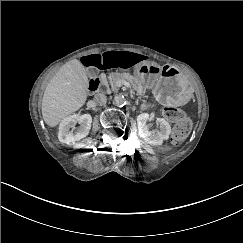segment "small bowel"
<instances>
[{
    "label": "small bowel",
    "mask_w": 243,
    "mask_h": 243,
    "mask_svg": "<svg viewBox=\"0 0 243 243\" xmlns=\"http://www.w3.org/2000/svg\"><path fill=\"white\" fill-rule=\"evenodd\" d=\"M143 60L139 53L128 50H109L102 53L86 55L82 58L84 66L90 69L132 68Z\"/></svg>",
    "instance_id": "c3829d8e"
}]
</instances>
